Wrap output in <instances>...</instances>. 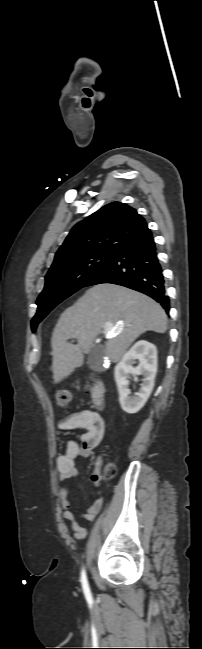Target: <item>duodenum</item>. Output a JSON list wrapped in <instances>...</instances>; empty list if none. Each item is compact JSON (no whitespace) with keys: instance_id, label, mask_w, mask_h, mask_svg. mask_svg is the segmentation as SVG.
Returning <instances> with one entry per match:
<instances>
[{"instance_id":"1","label":"duodenum","mask_w":202,"mask_h":649,"mask_svg":"<svg viewBox=\"0 0 202 649\" xmlns=\"http://www.w3.org/2000/svg\"><path fill=\"white\" fill-rule=\"evenodd\" d=\"M106 388L102 381L97 380L91 391V397L97 408H103L105 405Z\"/></svg>"}]
</instances>
